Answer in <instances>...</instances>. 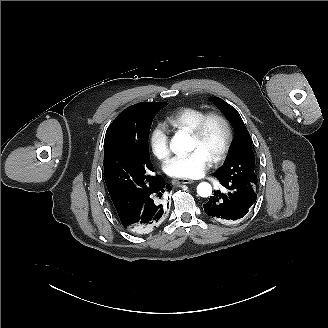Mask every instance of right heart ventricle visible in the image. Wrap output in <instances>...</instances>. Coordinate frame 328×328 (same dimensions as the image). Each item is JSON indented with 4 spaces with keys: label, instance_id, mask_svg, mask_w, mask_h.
I'll return each mask as SVG.
<instances>
[{
    "label": "right heart ventricle",
    "instance_id": "e07e8e85",
    "mask_svg": "<svg viewBox=\"0 0 328 328\" xmlns=\"http://www.w3.org/2000/svg\"><path fill=\"white\" fill-rule=\"evenodd\" d=\"M206 114V110L197 107H187L169 114L168 124L178 130L190 132L197 122Z\"/></svg>",
    "mask_w": 328,
    "mask_h": 328
}]
</instances>
